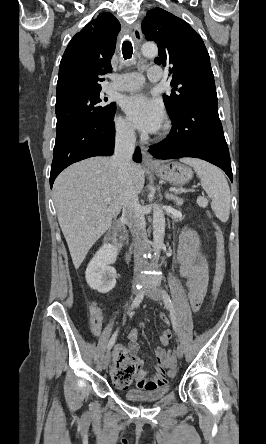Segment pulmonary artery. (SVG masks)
<instances>
[{
    "mask_svg": "<svg viewBox=\"0 0 266 444\" xmlns=\"http://www.w3.org/2000/svg\"><path fill=\"white\" fill-rule=\"evenodd\" d=\"M163 71L160 66H150L147 70V77L151 81H158L162 78ZM144 83V77L137 72L115 75L110 81V86L119 91H132L140 88Z\"/></svg>",
    "mask_w": 266,
    "mask_h": 444,
    "instance_id": "obj_1",
    "label": "pulmonary artery"
}]
</instances>
